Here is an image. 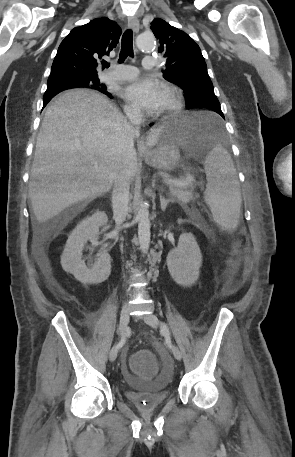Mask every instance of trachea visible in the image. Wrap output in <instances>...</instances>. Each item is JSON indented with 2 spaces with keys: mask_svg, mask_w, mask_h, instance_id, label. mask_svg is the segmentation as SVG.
I'll return each instance as SVG.
<instances>
[{
  "mask_svg": "<svg viewBox=\"0 0 295 457\" xmlns=\"http://www.w3.org/2000/svg\"><path fill=\"white\" fill-rule=\"evenodd\" d=\"M130 56L133 57V32L128 29L124 32L121 42V51L119 55V63H123L125 59ZM106 67H109L110 64L106 63Z\"/></svg>",
  "mask_w": 295,
  "mask_h": 457,
  "instance_id": "1",
  "label": "trachea"
}]
</instances>
